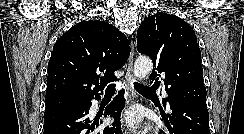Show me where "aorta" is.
<instances>
[{"label":"aorta","mask_w":244,"mask_h":134,"mask_svg":"<svg viewBox=\"0 0 244 134\" xmlns=\"http://www.w3.org/2000/svg\"><path fill=\"white\" fill-rule=\"evenodd\" d=\"M153 69V63L150 58L140 56L136 59L134 65V75L137 79H144L150 75Z\"/></svg>","instance_id":"obj_1"}]
</instances>
